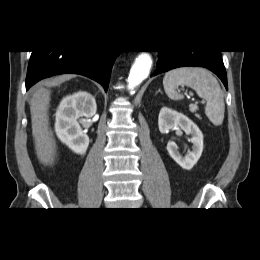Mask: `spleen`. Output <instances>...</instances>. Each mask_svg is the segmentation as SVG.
Returning <instances> with one entry per match:
<instances>
[{"label":"spleen","instance_id":"1","mask_svg":"<svg viewBox=\"0 0 260 260\" xmlns=\"http://www.w3.org/2000/svg\"><path fill=\"white\" fill-rule=\"evenodd\" d=\"M179 85L191 87L199 97L206 100L205 114L213 125L219 126L223 123L224 95L218 81L211 72L192 67L168 71L163 78V86L170 99L181 100L184 98L182 94L177 92Z\"/></svg>","mask_w":260,"mask_h":260}]
</instances>
